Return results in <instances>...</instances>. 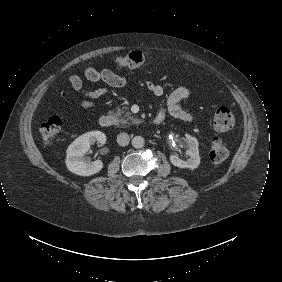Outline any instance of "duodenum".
Listing matches in <instances>:
<instances>
[{
	"label": "duodenum",
	"instance_id": "obj_1",
	"mask_svg": "<svg viewBox=\"0 0 282 282\" xmlns=\"http://www.w3.org/2000/svg\"><path fill=\"white\" fill-rule=\"evenodd\" d=\"M153 122H154L155 124H160V123L162 122V119L159 118V117H156V118L153 120ZM113 123H114V119H113V117L110 116V115H102V116L100 117V119H99V125H100L101 127H104V128H109V127H111V126L113 125Z\"/></svg>",
	"mask_w": 282,
	"mask_h": 282
}]
</instances>
